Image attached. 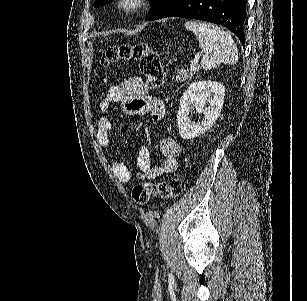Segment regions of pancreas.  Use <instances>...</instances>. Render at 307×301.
I'll return each instance as SVG.
<instances>
[{
  "label": "pancreas",
  "instance_id": "1",
  "mask_svg": "<svg viewBox=\"0 0 307 301\" xmlns=\"http://www.w3.org/2000/svg\"><path fill=\"white\" fill-rule=\"evenodd\" d=\"M193 74H195L193 70H185V68H181V70H177L175 78L173 76L172 80H176V82H181V84H186L190 76H193Z\"/></svg>",
  "mask_w": 307,
  "mask_h": 301
}]
</instances>
